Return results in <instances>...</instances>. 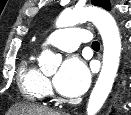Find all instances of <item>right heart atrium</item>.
<instances>
[{"label": "right heart atrium", "instance_id": "1", "mask_svg": "<svg viewBox=\"0 0 131 115\" xmlns=\"http://www.w3.org/2000/svg\"><path fill=\"white\" fill-rule=\"evenodd\" d=\"M45 89H46V91H48V90H49V84H48V82H47V81H45Z\"/></svg>", "mask_w": 131, "mask_h": 115}]
</instances>
